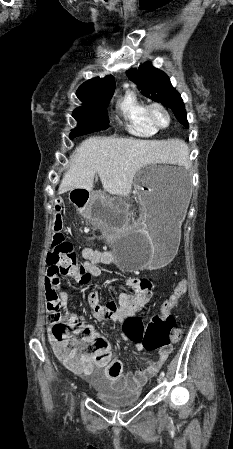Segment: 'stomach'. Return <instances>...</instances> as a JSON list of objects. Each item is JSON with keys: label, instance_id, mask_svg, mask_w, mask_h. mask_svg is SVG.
<instances>
[{"label": "stomach", "instance_id": "1", "mask_svg": "<svg viewBox=\"0 0 233 449\" xmlns=\"http://www.w3.org/2000/svg\"><path fill=\"white\" fill-rule=\"evenodd\" d=\"M134 194L144 207L141 223L133 228L128 201L91 197L79 207L93 225L119 227L110 240L113 257L123 271L153 270L169 264L177 253L181 222L190 194L187 171L181 166H145L134 178Z\"/></svg>", "mask_w": 233, "mask_h": 449}]
</instances>
